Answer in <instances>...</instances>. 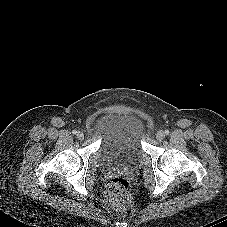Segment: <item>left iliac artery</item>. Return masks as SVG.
I'll return each mask as SVG.
<instances>
[{"instance_id": "obj_1", "label": "left iliac artery", "mask_w": 227, "mask_h": 227, "mask_svg": "<svg viewBox=\"0 0 227 227\" xmlns=\"http://www.w3.org/2000/svg\"><path fill=\"white\" fill-rule=\"evenodd\" d=\"M165 134L168 135L169 134V130H165Z\"/></svg>"}]
</instances>
